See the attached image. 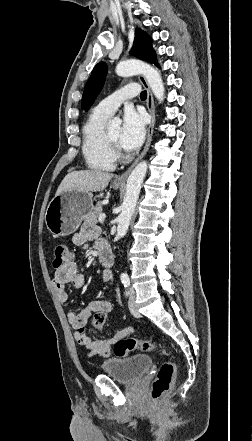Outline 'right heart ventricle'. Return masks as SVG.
Returning a JSON list of instances; mask_svg holds the SVG:
<instances>
[{
    "mask_svg": "<svg viewBox=\"0 0 252 441\" xmlns=\"http://www.w3.org/2000/svg\"><path fill=\"white\" fill-rule=\"evenodd\" d=\"M108 116L94 110L82 127V155L86 166L95 171H113L116 158L111 154L104 139V125Z\"/></svg>",
    "mask_w": 252,
    "mask_h": 441,
    "instance_id": "1",
    "label": "right heart ventricle"
}]
</instances>
